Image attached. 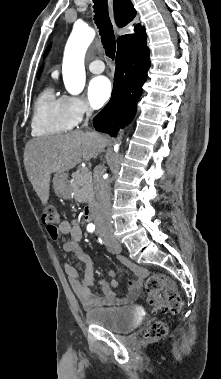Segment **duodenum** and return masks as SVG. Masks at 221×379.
Wrapping results in <instances>:
<instances>
[{
  "mask_svg": "<svg viewBox=\"0 0 221 379\" xmlns=\"http://www.w3.org/2000/svg\"><path fill=\"white\" fill-rule=\"evenodd\" d=\"M97 216V205L96 204H90L84 212V220L86 222H92Z\"/></svg>",
  "mask_w": 221,
  "mask_h": 379,
  "instance_id": "obj_1",
  "label": "duodenum"
}]
</instances>
